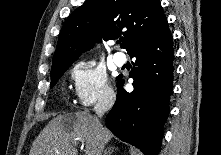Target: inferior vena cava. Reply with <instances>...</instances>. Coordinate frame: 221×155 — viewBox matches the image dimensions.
Segmentation results:
<instances>
[{
    "instance_id": "inferior-vena-cava-1",
    "label": "inferior vena cava",
    "mask_w": 221,
    "mask_h": 155,
    "mask_svg": "<svg viewBox=\"0 0 221 155\" xmlns=\"http://www.w3.org/2000/svg\"><path fill=\"white\" fill-rule=\"evenodd\" d=\"M115 95L114 94H108L107 96L103 97L101 100L98 101L97 105L94 107V110L99 118H101L106 112H108L114 102H115ZM104 146H101V150L103 152ZM102 155V153L100 154Z\"/></svg>"
}]
</instances>
